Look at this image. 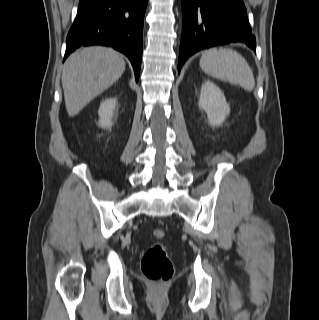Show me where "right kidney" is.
<instances>
[{"label":"right kidney","mask_w":319,"mask_h":320,"mask_svg":"<svg viewBox=\"0 0 319 320\" xmlns=\"http://www.w3.org/2000/svg\"><path fill=\"white\" fill-rule=\"evenodd\" d=\"M116 106V99L115 98H108L105 101H103L99 107L98 114L100 117L99 120V126L102 128H111L113 122H112V116L114 114Z\"/></svg>","instance_id":"ca27d5eb"}]
</instances>
